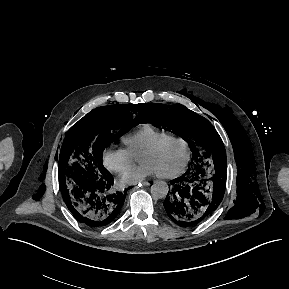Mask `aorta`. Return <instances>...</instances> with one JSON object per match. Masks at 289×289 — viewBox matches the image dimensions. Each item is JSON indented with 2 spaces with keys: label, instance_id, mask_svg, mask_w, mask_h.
<instances>
[{
  "label": "aorta",
  "instance_id": "762f6f07",
  "mask_svg": "<svg viewBox=\"0 0 289 289\" xmlns=\"http://www.w3.org/2000/svg\"><path fill=\"white\" fill-rule=\"evenodd\" d=\"M169 191L168 184L165 181H156L151 186V194L156 199H163L167 196Z\"/></svg>",
  "mask_w": 289,
  "mask_h": 289
}]
</instances>
